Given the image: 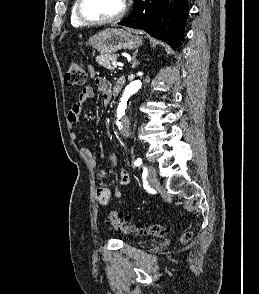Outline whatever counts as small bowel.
I'll use <instances>...</instances> for the list:
<instances>
[{"mask_svg": "<svg viewBox=\"0 0 259 294\" xmlns=\"http://www.w3.org/2000/svg\"><path fill=\"white\" fill-rule=\"evenodd\" d=\"M90 75L95 79V83L99 91L102 93V100L105 105H107L112 95L115 94L114 87H112L111 83L102 77H95V72L91 68ZM94 97V89L91 86L84 87L78 95L76 102L70 108L68 112V121L71 124H74L78 121L79 115L81 113L83 105L91 100ZM73 137H76V134L73 133ZM81 153L89 160L92 166H96V156L93 151L86 145L80 147ZM110 160L112 164H115V156L111 155ZM110 178L101 174L100 180L98 183V187L96 190V198L100 205H107L112 197L122 198L124 194L120 190L112 191L109 186ZM115 180L120 184H127L129 182V174L125 170H121L118 174L115 175Z\"/></svg>", "mask_w": 259, "mask_h": 294, "instance_id": "obj_1", "label": "small bowel"}]
</instances>
